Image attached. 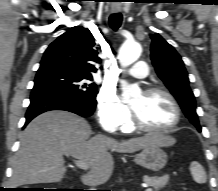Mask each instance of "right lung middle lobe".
Here are the masks:
<instances>
[{
	"label": "right lung middle lobe",
	"mask_w": 218,
	"mask_h": 191,
	"mask_svg": "<svg viewBox=\"0 0 218 191\" xmlns=\"http://www.w3.org/2000/svg\"><path fill=\"white\" fill-rule=\"evenodd\" d=\"M87 80L93 79L90 75L81 73L63 62L42 59L33 90L54 88L86 102L96 103L97 86L94 83L89 84Z\"/></svg>",
	"instance_id": "right-lung-middle-lobe-1"
}]
</instances>
